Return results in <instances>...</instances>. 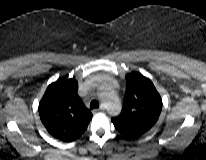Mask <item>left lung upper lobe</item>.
I'll return each mask as SVG.
<instances>
[{"label":"left lung upper lobe","instance_id":"1","mask_svg":"<svg viewBox=\"0 0 206 160\" xmlns=\"http://www.w3.org/2000/svg\"><path fill=\"white\" fill-rule=\"evenodd\" d=\"M162 110V99L152 81L138 72L126 75L121 114L111 119L125 137L135 139L153 128Z\"/></svg>","mask_w":206,"mask_h":160}]
</instances>
